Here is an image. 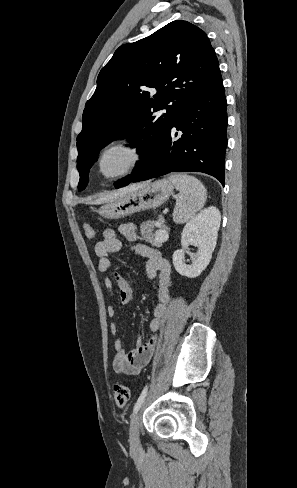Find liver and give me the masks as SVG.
I'll use <instances>...</instances> for the list:
<instances>
[{
    "label": "liver",
    "instance_id": "1",
    "mask_svg": "<svg viewBox=\"0 0 297 488\" xmlns=\"http://www.w3.org/2000/svg\"><path fill=\"white\" fill-rule=\"evenodd\" d=\"M147 184H148L147 182L140 183V184H134V185L119 189L117 191L107 193L104 196H102L100 199H98L97 202H109V201L115 200L118 197H120V196H122L128 192L136 191L137 189L142 188V187L146 186Z\"/></svg>",
    "mask_w": 297,
    "mask_h": 488
}]
</instances>
